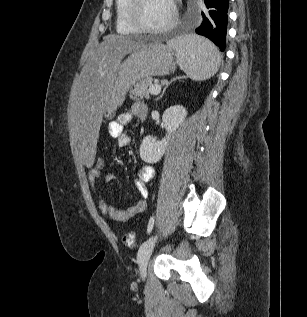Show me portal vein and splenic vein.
I'll list each match as a JSON object with an SVG mask.
<instances>
[{
  "mask_svg": "<svg viewBox=\"0 0 307 317\" xmlns=\"http://www.w3.org/2000/svg\"><path fill=\"white\" fill-rule=\"evenodd\" d=\"M161 91V86L158 84H154L149 88V93L152 95H158Z\"/></svg>",
  "mask_w": 307,
  "mask_h": 317,
  "instance_id": "obj_1",
  "label": "portal vein and splenic vein"
}]
</instances>
